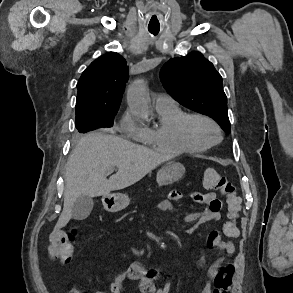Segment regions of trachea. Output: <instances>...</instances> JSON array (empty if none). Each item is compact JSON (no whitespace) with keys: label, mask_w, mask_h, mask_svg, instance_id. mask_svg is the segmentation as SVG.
I'll list each match as a JSON object with an SVG mask.
<instances>
[{"label":"trachea","mask_w":293,"mask_h":293,"mask_svg":"<svg viewBox=\"0 0 293 293\" xmlns=\"http://www.w3.org/2000/svg\"><path fill=\"white\" fill-rule=\"evenodd\" d=\"M148 30L153 35H157L159 33V29H148Z\"/></svg>","instance_id":"3493384b"}]
</instances>
